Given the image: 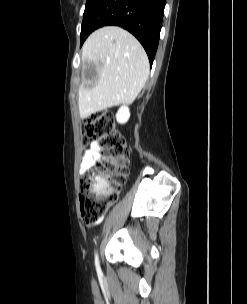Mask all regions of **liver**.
I'll return each instance as SVG.
<instances>
[{"instance_id":"6515ba94","label":"liver","mask_w":247,"mask_h":304,"mask_svg":"<svg viewBox=\"0 0 247 304\" xmlns=\"http://www.w3.org/2000/svg\"><path fill=\"white\" fill-rule=\"evenodd\" d=\"M83 63L94 64L98 81L83 82L78 92L80 118L121 104H131L144 87L149 61L137 39L120 27L108 26L93 32L82 47Z\"/></svg>"}]
</instances>
